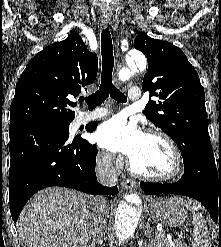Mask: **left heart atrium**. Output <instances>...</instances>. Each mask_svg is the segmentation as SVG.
I'll return each instance as SVG.
<instances>
[{
	"label": "left heart atrium",
	"instance_id": "1",
	"mask_svg": "<svg viewBox=\"0 0 221 247\" xmlns=\"http://www.w3.org/2000/svg\"><path fill=\"white\" fill-rule=\"evenodd\" d=\"M145 135L135 122L117 116L99 126L95 140L109 151L119 152L132 158L142 145Z\"/></svg>",
	"mask_w": 221,
	"mask_h": 247
}]
</instances>
